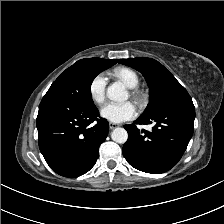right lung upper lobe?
<instances>
[{
  "label": "right lung upper lobe",
  "instance_id": "obj_1",
  "mask_svg": "<svg viewBox=\"0 0 224 224\" xmlns=\"http://www.w3.org/2000/svg\"><path fill=\"white\" fill-rule=\"evenodd\" d=\"M96 59H98V60H100V61H102V62H105V63H107V64H111V65L116 64L117 61H118V60H107V59H102V58H96Z\"/></svg>",
  "mask_w": 224,
  "mask_h": 224
}]
</instances>
